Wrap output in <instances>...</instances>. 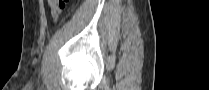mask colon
Segmentation results:
<instances>
[{
	"label": "colon",
	"mask_w": 209,
	"mask_h": 90,
	"mask_svg": "<svg viewBox=\"0 0 209 90\" xmlns=\"http://www.w3.org/2000/svg\"><path fill=\"white\" fill-rule=\"evenodd\" d=\"M49 9L53 19L58 20L63 12L66 10L68 0H49Z\"/></svg>",
	"instance_id": "1"
}]
</instances>
